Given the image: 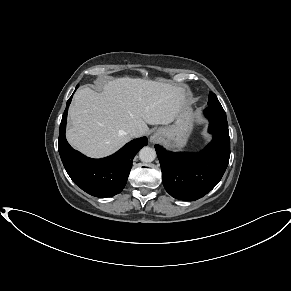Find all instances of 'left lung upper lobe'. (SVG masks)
Returning a JSON list of instances; mask_svg holds the SVG:
<instances>
[{"label": "left lung upper lobe", "instance_id": "obj_1", "mask_svg": "<svg viewBox=\"0 0 291 291\" xmlns=\"http://www.w3.org/2000/svg\"><path fill=\"white\" fill-rule=\"evenodd\" d=\"M208 107H211V108H222L220 102L218 101L216 95L213 92L209 93Z\"/></svg>", "mask_w": 291, "mask_h": 291}]
</instances>
